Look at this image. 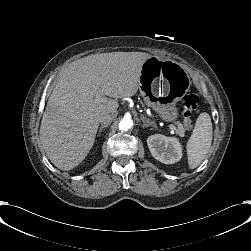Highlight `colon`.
Listing matches in <instances>:
<instances>
[{
	"label": "colon",
	"instance_id": "5ec220e1",
	"mask_svg": "<svg viewBox=\"0 0 251 251\" xmlns=\"http://www.w3.org/2000/svg\"><path fill=\"white\" fill-rule=\"evenodd\" d=\"M198 102L199 98L196 95L188 96L183 102V116L185 126L188 124L193 112L197 109Z\"/></svg>",
	"mask_w": 251,
	"mask_h": 251
}]
</instances>
